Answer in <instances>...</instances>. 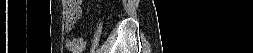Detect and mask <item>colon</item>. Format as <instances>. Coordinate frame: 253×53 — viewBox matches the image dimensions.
<instances>
[{"label":"colon","mask_w":253,"mask_h":53,"mask_svg":"<svg viewBox=\"0 0 253 53\" xmlns=\"http://www.w3.org/2000/svg\"><path fill=\"white\" fill-rule=\"evenodd\" d=\"M69 6L67 10V19L70 23L74 24L80 16V9L78 6L74 5L78 1L69 0L67 1Z\"/></svg>","instance_id":"colon-1"}]
</instances>
